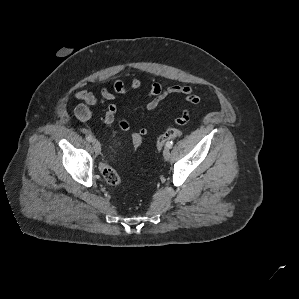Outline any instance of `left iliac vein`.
Returning a JSON list of instances; mask_svg holds the SVG:
<instances>
[{
  "mask_svg": "<svg viewBox=\"0 0 299 299\" xmlns=\"http://www.w3.org/2000/svg\"><path fill=\"white\" fill-rule=\"evenodd\" d=\"M163 156H164V159H165V160H169V159H170L171 153H170L169 148H165V149H164V151H163Z\"/></svg>",
  "mask_w": 299,
  "mask_h": 299,
  "instance_id": "left-iliac-vein-1",
  "label": "left iliac vein"
}]
</instances>
